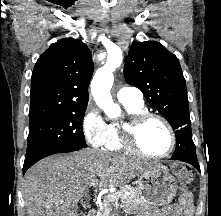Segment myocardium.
<instances>
[{"label": "myocardium", "mask_w": 221, "mask_h": 216, "mask_svg": "<svg viewBox=\"0 0 221 216\" xmlns=\"http://www.w3.org/2000/svg\"><path fill=\"white\" fill-rule=\"evenodd\" d=\"M152 119L162 122L167 128L170 136V146L168 150L162 154H153L146 151L139 141V134L142 127L147 121ZM120 134L126 149L147 158H166L172 154L176 147V134L171 123L162 115L150 111H143L133 116H127L125 119L121 120Z\"/></svg>", "instance_id": "f54148a6"}]
</instances>
